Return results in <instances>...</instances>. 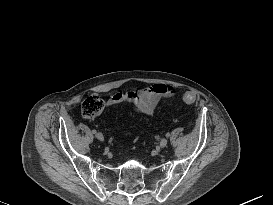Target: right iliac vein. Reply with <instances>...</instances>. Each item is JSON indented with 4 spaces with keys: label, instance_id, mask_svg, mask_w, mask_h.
Returning a JSON list of instances; mask_svg holds the SVG:
<instances>
[{
    "label": "right iliac vein",
    "instance_id": "right-iliac-vein-1",
    "mask_svg": "<svg viewBox=\"0 0 273 205\" xmlns=\"http://www.w3.org/2000/svg\"><path fill=\"white\" fill-rule=\"evenodd\" d=\"M95 136H96V138H97L98 140H100V141H103V140H104V136H103V134L100 133V132L96 133Z\"/></svg>",
    "mask_w": 273,
    "mask_h": 205
}]
</instances>
